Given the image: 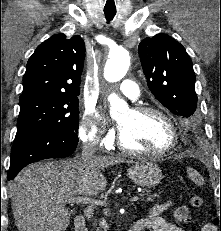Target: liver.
I'll return each instance as SVG.
<instances>
[{
  "label": "liver",
  "mask_w": 221,
  "mask_h": 231,
  "mask_svg": "<svg viewBox=\"0 0 221 231\" xmlns=\"http://www.w3.org/2000/svg\"><path fill=\"white\" fill-rule=\"evenodd\" d=\"M132 162L121 157L96 156L38 162L25 167L9 186L15 224L19 231H65L70 212L62 200L102 192L108 166Z\"/></svg>",
  "instance_id": "liver-1"
}]
</instances>
